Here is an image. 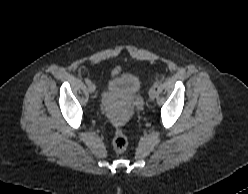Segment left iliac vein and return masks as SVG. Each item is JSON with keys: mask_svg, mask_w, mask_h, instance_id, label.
<instances>
[{"mask_svg": "<svg viewBox=\"0 0 248 194\" xmlns=\"http://www.w3.org/2000/svg\"><path fill=\"white\" fill-rule=\"evenodd\" d=\"M157 96V91L154 87L150 88L149 90V97L150 99H155V97Z\"/></svg>", "mask_w": 248, "mask_h": 194, "instance_id": "obj_1", "label": "left iliac vein"}]
</instances>
